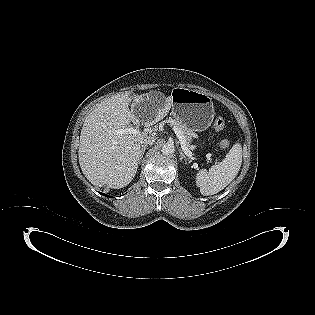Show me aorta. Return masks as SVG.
<instances>
[{
    "mask_svg": "<svg viewBox=\"0 0 315 315\" xmlns=\"http://www.w3.org/2000/svg\"><path fill=\"white\" fill-rule=\"evenodd\" d=\"M174 151H175V147H174V144L172 143H166L161 149V152L165 155H171L174 153Z\"/></svg>",
    "mask_w": 315,
    "mask_h": 315,
    "instance_id": "762f6f07",
    "label": "aorta"
}]
</instances>
